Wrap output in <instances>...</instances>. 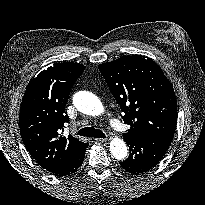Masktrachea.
Returning a JSON list of instances; mask_svg holds the SVG:
<instances>
[{"instance_id": "trachea-1", "label": "trachea", "mask_w": 205, "mask_h": 205, "mask_svg": "<svg viewBox=\"0 0 205 205\" xmlns=\"http://www.w3.org/2000/svg\"><path fill=\"white\" fill-rule=\"evenodd\" d=\"M78 135L94 138H104L106 137L103 131L95 129L94 127H85L78 131Z\"/></svg>"}]
</instances>
